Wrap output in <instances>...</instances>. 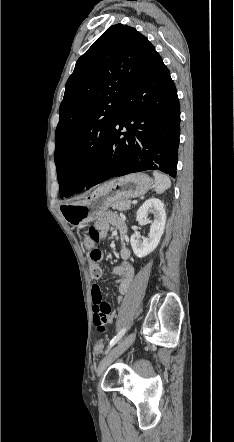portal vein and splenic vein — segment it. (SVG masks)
Instances as JSON below:
<instances>
[{
  "label": "portal vein and splenic vein",
  "instance_id": "portal-vein-and-splenic-vein-1",
  "mask_svg": "<svg viewBox=\"0 0 234 442\" xmlns=\"http://www.w3.org/2000/svg\"><path fill=\"white\" fill-rule=\"evenodd\" d=\"M137 203V201H133V204H136Z\"/></svg>",
  "mask_w": 234,
  "mask_h": 442
}]
</instances>
